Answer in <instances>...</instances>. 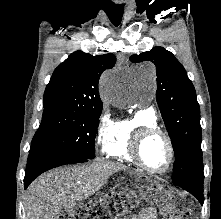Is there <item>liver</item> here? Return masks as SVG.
<instances>
[{
  "instance_id": "6515ba94",
  "label": "liver",
  "mask_w": 221,
  "mask_h": 219,
  "mask_svg": "<svg viewBox=\"0 0 221 219\" xmlns=\"http://www.w3.org/2000/svg\"><path fill=\"white\" fill-rule=\"evenodd\" d=\"M124 165L98 161L82 166L52 170L39 176L27 189L24 208L26 219H56L61 209L99 191Z\"/></svg>"
}]
</instances>
